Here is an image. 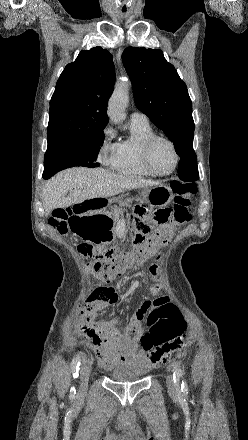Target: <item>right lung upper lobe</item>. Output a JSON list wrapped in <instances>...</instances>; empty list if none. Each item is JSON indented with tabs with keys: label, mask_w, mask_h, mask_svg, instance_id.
I'll return each instance as SVG.
<instances>
[{
	"label": "right lung upper lobe",
	"mask_w": 248,
	"mask_h": 440,
	"mask_svg": "<svg viewBox=\"0 0 248 440\" xmlns=\"http://www.w3.org/2000/svg\"><path fill=\"white\" fill-rule=\"evenodd\" d=\"M114 81L113 57L108 50L98 46L81 51L61 73L50 100L48 143L104 129Z\"/></svg>",
	"instance_id": "right-lung-upper-lobe-1"
}]
</instances>
